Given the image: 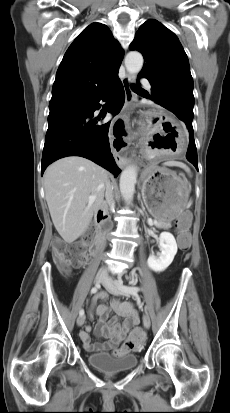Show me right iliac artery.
<instances>
[{
  "label": "right iliac artery",
  "instance_id": "right-iliac-artery-1",
  "mask_svg": "<svg viewBox=\"0 0 230 413\" xmlns=\"http://www.w3.org/2000/svg\"><path fill=\"white\" fill-rule=\"evenodd\" d=\"M99 288H100V285H99V284H96L94 287H92V289H91V294L96 293ZM79 314H80V316H83V315H84V310L81 309V310L79 311Z\"/></svg>",
  "mask_w": 230,
  "mask_h": 413
}]
</instances>
